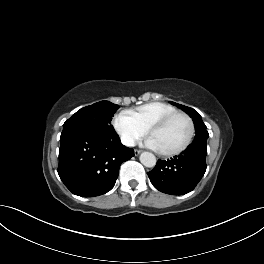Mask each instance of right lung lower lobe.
Listing matches in <instances>:
<instances>
[{"label": "right lung lower lobe", "mask_w": 264, "mask_h": 264, "mask_svg": "<svg viewBox=\"0 0 264 264\" xmlns=\"http://www.w3.org/2000/svg\"><path fill=\"white\" fill-rule=\"evenodd\" d=\"M58 174L75 195L94 197L110 191L122 162L134 156L116 132L81 128L63 129Z\"/></svg>", "instance_id": "right-lung-lower-lobe-1"}]
</instances>
